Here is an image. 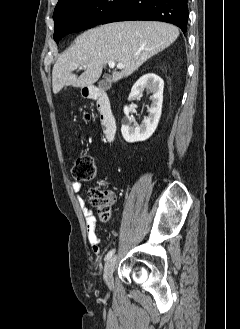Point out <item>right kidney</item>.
<instances>
[{
    "label": "right kidney",
    "instance_id": "right-kidney-1",
    "mask_svg": "<svg viewBox=\"0 0 240 329\" xmlns=\"http://www.w3.org/2000/svg\"><path fill=\"white\" fill-rule=\"evenodd\" d=\"M163 88V80L153 73L143 75L133 85L128 100L136 98L144 89H148L152 93V102L148 117H145L140 125L135 123L133 116H129L132 110L128 106L124 107L126 117L122 120L121 133L125 141L129 143L145 141L154 133L161 117Z\"/></svg>",
    "mask_w": 240,
    "mask_h": 329
}]
</instances>
